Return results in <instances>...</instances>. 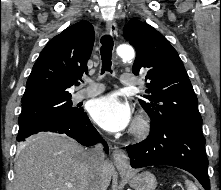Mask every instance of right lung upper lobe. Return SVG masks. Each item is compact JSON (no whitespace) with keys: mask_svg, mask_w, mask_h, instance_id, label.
I'll list each match as a JSON object with an SVG mask.
<instances>
[{"mask_svg":"<svg viewBox=\"0 0 221 190\" xmlns=\"http://www.w3.org/2000/svg\"><path fill=\"white\" fill-rule=\"evenodd\" d=\"M94 44V28L80 21L53 37L42 50L26 83L22 107L71 98L68 92L83 74Z\"/></svg>","mask_w":221,"mask_h":190,"instance_id":"obj_1","label":"right lung upper lobe"}]
</instances>
